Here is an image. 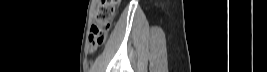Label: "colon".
<instances>
[{"mask_svg":"<svg viewBox=\"0 0 267 72\" xmlns=\"http://www.w3.org/2000/svg\"><path fill=\"white\" fill-rule=\"evenodd\" d=\"M119 3V0L99 1L94 13V24L89 33V43L92 46H100L104 43Z\"/></svg>","mask_w":267,"mask_h":72,"instance_id":"obj_1","label":"colon"}]
</instances>
